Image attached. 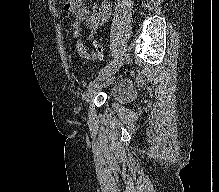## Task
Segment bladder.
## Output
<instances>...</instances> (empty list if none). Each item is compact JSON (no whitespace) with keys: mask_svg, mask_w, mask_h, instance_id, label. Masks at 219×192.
<instances>
[{"mask_svg":"<svg viewBox=\"0 0 219 192\" xmlns=\"http://www.w3.org/2000/svg\"><path fill=\"white\" fill-rule=\"evenodd\" d=\"M131 94H132L131 86L123 84L117 87L114 91H112L111 97L114 101L120 102L130 97Z\"/></svg>","mask_w":219,"mask_h":192,"instance_id":"bladder-1","label":"bladder"}]
</instances>
